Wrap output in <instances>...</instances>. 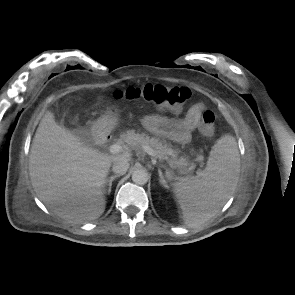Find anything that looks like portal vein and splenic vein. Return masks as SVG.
Segmentation results:
<instances>
[{
	"label": "portal vein and splenic vein",
	"instance_id": "1",
	"mask_svg": "<svg viewBox=\"0 0 295 295\" xmlns=\"http://www.w3.org/2000/svg\"><path fill=\"white\" fill-rule=\"evenodd\" d=\"M143 148H144V151L146 153H148L149 155L157 158V154L152 148H150L149 146H144ZM109 151L112 154H117V153L122 151V146L119 143H115V144L110 146Z\"/></svg>",
	"mask_w": 295,
	"mask_h": 295
}]
</instances>
